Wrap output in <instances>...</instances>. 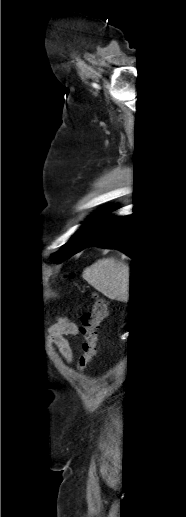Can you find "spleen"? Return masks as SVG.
Returning <instances> with one entry per match:
<instances>
[{
	"label": "spleen",
	"instance_id": "3e777b00",
	"mask_svg": "<svg viewBox=\"0 0 186 517\" xmlns=\"http://www.w3.org/2000/svg\"><path fill=\"white\" fill-rule=\"evenodd\" d=\"M91 286L110 299L129 300L130 267L113 258L100 259L82 274Z\"/></svg>",
	"mask_w": 186,
	"mask_h": 517
}]
</instances>
